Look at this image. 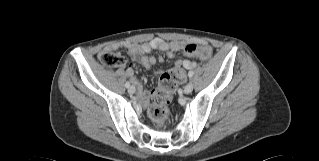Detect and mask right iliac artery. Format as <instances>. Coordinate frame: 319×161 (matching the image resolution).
I'll return each mask as SVG.
<instances>
[{"label": "right iliac artery", "mask_w": 319, "mask_h": 161, "mask_svg": "<svg viewBox=\"0 0 319 161\" xmlns=\"http://www.w3.org/2000/svg\"><path fill=\"white\" fill-rule=\"evenodd\" d=\"M125 86L128 88L130 86V83L126 82Z\"/></svg>", "instance_id": "obj_1"}]
</instances>
